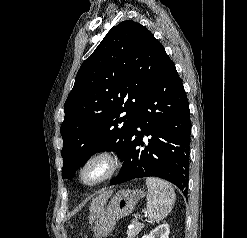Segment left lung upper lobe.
<instances>
[{
	"mask_svg": "<svg viewBox=\"0 0 247 238\" xmlns=\"http://www.w3.org/2000/svg\"><path fill=\"white\" fill-rule=\"evenodd\" d=\"M167 57L141 24L129 20L112 27L82 64L64 105L62 178L70 179L99 151H115L122 159L137 113Z\"/></svg>",
	"mask_w": 247,
	"mask_h": 238,
	"instance_id": "5c2ea615",
	"label": "left lung upper lobe"
}]
</instances>
